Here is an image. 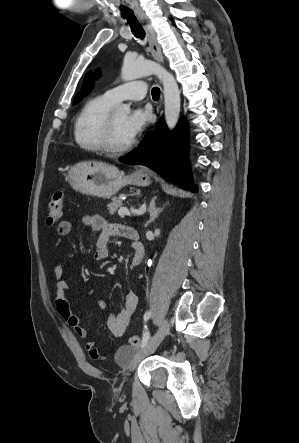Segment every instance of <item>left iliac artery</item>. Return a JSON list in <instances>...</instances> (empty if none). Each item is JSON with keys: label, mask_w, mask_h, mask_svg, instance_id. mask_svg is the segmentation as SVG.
<instances>
[{"label": "left iliac artery", "mask_w": 299, "mask_h": 443, "mask_svg": "<svg viewBox=\"0 0 299 443\" xmlns=\"http://www.w3.org/2000/svg\"><path fill=\"white\" fill-rule=\"evenodd\" d=\"M151 315H152V311H147L144 314V322H146L151 317ZM149 339H150V333L147 330V327L145 326L144 327V331H143L142 347L146 346V344L148 343Z\"/></svg>", "instance_id": "left-iliac-artery-1"}]
</instances>
